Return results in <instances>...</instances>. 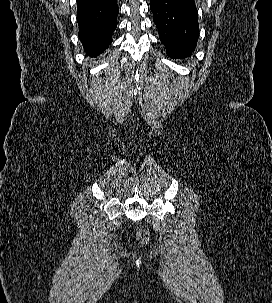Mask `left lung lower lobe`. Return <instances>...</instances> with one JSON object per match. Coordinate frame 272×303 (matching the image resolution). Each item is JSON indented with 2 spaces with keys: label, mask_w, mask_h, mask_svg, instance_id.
Listing matches in <instances>:
<instances>
[{
  "label": "left lung lower lobe",
  "mask_w": 272,
  "mask_h": 303,
  "mask_svg": "<svg viewBox=\"0 0 272 303\" xmlns=\"http://www.w3.org/2000/svg\"><path fill=\"white\" fill-rule=\"evenodd\" d=\"M150 8L167 55L173 59L190 56L199 37L194 0H150Z\"/></svg>",
  "instance_id": "1"
}]
</instances>
